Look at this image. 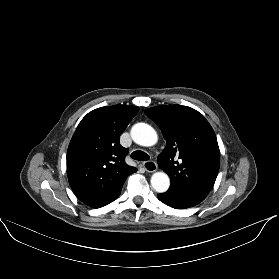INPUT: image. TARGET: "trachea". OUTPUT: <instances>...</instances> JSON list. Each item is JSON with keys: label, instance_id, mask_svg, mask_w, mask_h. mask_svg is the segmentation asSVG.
<instances>
[{"label": "trachea", "instance_id": "1", "mask_svg": "<svg viewBox=\"0 0 279 279\" xmlns=\"http://www.w3.org/2000/svg\"><path fill=\"white\" fill-rule=\"evenodd\" d=\"M131 158H133L136 161H147L150 157L147 153L141 150H137L131 154Z\"/></svg>", "mask_w": 279, "mask_h": 279}]
</instances>
